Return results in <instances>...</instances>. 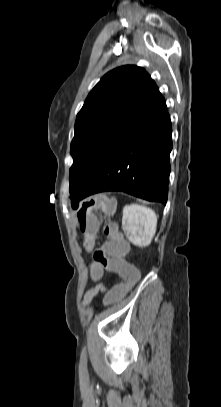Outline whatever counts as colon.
Segmentation results:
<instances>
[{"label":"colon","mask_w":221,"mask_h":407,"mask_svg":"<svg viewBox=\"0 0 221 407\" xmlns=\"http://www.w3.org/2000/svg\"><path fill=\"white\" fill-rule=\"evenodd\" d=\"M94 210H100L106 216H112L116 211L114 200L104 195H97L85 201L77 210V221L84 236V248L92 253L90 267L92 278L90 283L98 285L100 278L105 277L106 270L117 272L119 279L123 282H116L115 286L107 289L102 297L105 306L114 307L121 304L125 295L131 292L130 287L139 283L140 271L137 265H132L130 260H123V256L128 251V243L125 241L118 227L113 222H108L103 227V233L109 238L101 248L94 249L95 239L98 233L99 224Z\"/></svg>","instance_id":"1"}]
</instances>
